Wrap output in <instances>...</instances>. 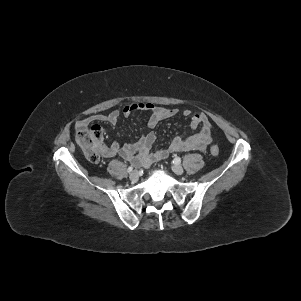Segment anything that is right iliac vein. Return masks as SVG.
Wrapping results in <instances>:
<instances>
[{
    "mask_svg": "<svg viewBox=\"0 0 301 301\" xmlns=\"http://www.w3.org/2000/svg\"><path fill=\"white\" fill-rule=\"evenodd\" d=\"M138 177H139V174H138L137 170L132 171L129 175V178L132 181H136L138 179Z\"/></svg>",
    "mask_w": 301,
    "mask_h": 301,
    "instance_id": "1",
    "label": "right iliac vein"
}]
</instances>
